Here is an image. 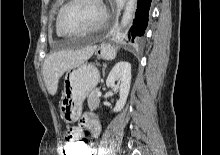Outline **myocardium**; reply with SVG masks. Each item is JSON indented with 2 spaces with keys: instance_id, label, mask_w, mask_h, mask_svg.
I'll use <instances>...</instances> for the list:
<instances>
[{
  "instance_id": "obj_1",
  "label": "myocardium",
  "mask_w": 220,
  "mask_h": 155,
  "mask_svg": "<svg viewBox=\"0 0 220 155\" xmlns=\"http://www.w3.org/2000/svg\"><path fill=\"white\" fill-rule=\"evenodd\" d=\"M77 0H68L66 3H64L61 8L58 11L57 17H56V29L57 31L65 36H76V35H83V34H88V33H92L95 32L99 29H101L107 22L108 20V11H107V7L104 4L103 0H97V2L100 4L102 11H103V16L102 19L99 21V23H97L96 25L87 28V29H83V30H77V31H68L66 29L63 28L62 23H61V18H62V14L63 12L73 3H75Z\"/></svg>"
}]
</instances>
